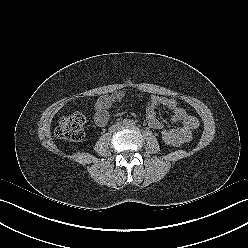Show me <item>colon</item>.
Returning <instances> with one entry per match:
<instances>
[{"instance_id": "5ec220e1", "label": "colon", "mask_w": 248, "mask_h": 248, "mask_svg": "<svg viewBox=\"0 0 248 248\" xmlns=\"http://www.w3.org/2000/svg\"><path fill=\"white\" fill-rule=\"evenodd\" d=\"M85 116L81 112H75L59 119L56 127V136L60 139L79 141L84 137ZM162 140L170 146L180 145L177 134L170 130L161 132Z\"/></svg>"}]
</instances>
